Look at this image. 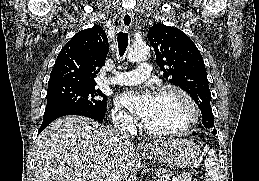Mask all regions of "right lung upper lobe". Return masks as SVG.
Here are the masks:
<instances>
[{"label": "right lung upper lobe", "instance_id": "right-lung-upper-lobe-1", "mask_svg": "<svg viewBox=\"0 0 259 181\" xmlns=\"http://www.w3.org/2000/svg\"><path fill=\"white\" fill-rule=\"evenodd\" d=\"M101 26L82 30L61 49L50 74L48 86L62 83L96 84L95 76L109 52Z\"/></svg>", "mask_w": 259, "mask_h": 181}]
</instances>
